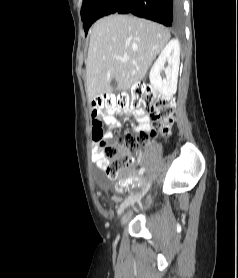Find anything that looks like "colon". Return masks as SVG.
Here are the masks:
<instances>
[{
	"instance_id": "5ec220e1",
	"label": "colon",
	"mask_w": 238,
	"mask_h": 278,
	"mask_svg": "<svg viewBox=\"0 0 238 278\" xmlns=\"http://www.w3.org/2000/svg\"><path fill=\"white\" fill-rule=\"evenodd\" d=\"M115 108L148 113L152 120L151 136H168L174 123L175 106L173 99L158 95L146 84H136L131 92L118 95L105 94L93 102L92 137L102 140L104 131L101 115ZM149 138L148 131H138L136 135L126 134L116 142L101 141L103 169L110 178H116L128 165V152L144 146Z\"/></svg>"
}]
</instances>
